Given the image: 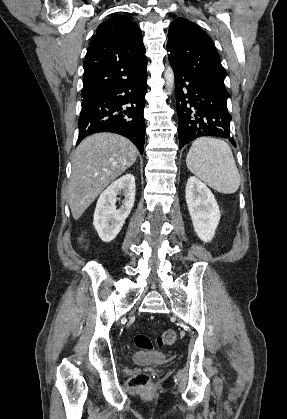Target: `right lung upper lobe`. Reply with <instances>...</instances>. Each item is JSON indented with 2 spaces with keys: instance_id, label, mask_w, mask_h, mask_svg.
I'll list each match as a JSON object with an SVG mask.
<instances>
[{
  "instance_id": "cb5924a9",
  "label": "right lung upper lobe",
  "mask_w": 287,
  "mask_h": 419,
  "mask_svg": "<svg viewBox=\"0 0 287 419\" xmlns=\"http://www.w3.org/2000/svg\"><path fill=\"white\" fill-rule=\"evenodd\" d=\"M147 58L138 25L128 15L104 21L91 38L83 63L82 104L146 73Z\"/></svg>"
}]
</instances>
